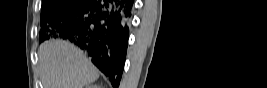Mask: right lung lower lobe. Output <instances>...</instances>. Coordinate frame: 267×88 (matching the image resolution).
I'll list each match as a JSON object with an SVG mask.
<instances>
[{
    "label": "right lung lower lobe",
    "mask_w": 267,
    "mask_h": 88,
    "mask_svg": "<svg viewBox=\"0 0 267 88\" xmlns=\"http://www.w3.org/2000/svg\"><path fill=\"white\" fill-rule=\"evenodd\" d=\"M132 8L133 0H79L43 27L44 40L62 37L75 43L117 87L125 64Z\"/></svg>",
    "instance_id": "right-lung-lower-lobe-1"
}]
</instances>
